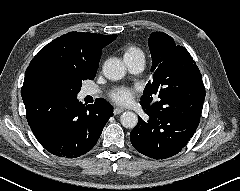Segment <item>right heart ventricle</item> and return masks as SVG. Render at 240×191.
Masks as SVG:
<instances>
[{
	"mask_svg": "<svg viewBox=\"0 0 240 191\" xmlns=\"http://www.w3.org/2000/svg\"><path fill=\"white\" fill-rule=\"evenodd\" d=\"M135 56H144V53L140 48L136 46H128L124 49V52H123L124 58L135 57Z\"/></svg>",
	"mask_w": 240,
	"mask_h": 191,
	"instance_id": "e07e8e85",
	"label": "right heart ventricle"
}]
</instances>
